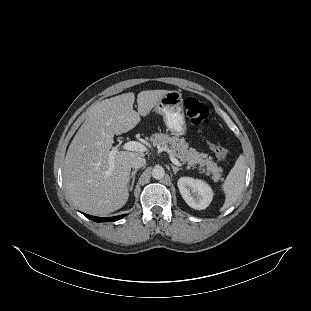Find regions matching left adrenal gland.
<instances>
[{
  "label": "left adrenal gland",
  "instance_id": "left-adrenal-gland-1",
  "mask_svg": "<svg viewBox=\"0 0 311 311\" xmlns=\"http://www.w3.org/2000/svg\"><path fill=\"white\" fill-rule=\"evenodd\" d=\"M171 167H172V169H173L174 175H176L177 172H178L179 170H181V168H178V167L174 166L173 164H171Z\"/></svg>",
  "mask_w": 311,
  "mask_h": 311
}]
</instances>
